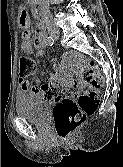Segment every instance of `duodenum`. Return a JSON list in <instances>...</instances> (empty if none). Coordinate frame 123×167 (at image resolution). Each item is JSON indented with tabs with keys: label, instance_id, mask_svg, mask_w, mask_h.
I'll use <instances>...</instances> for the list:
<instances>
[{
	"label": "duodenum",
	"instance_id": "1",
	"mask_svg": "<svg viewBox=\"0 0 123 167\" xmlns=\"http://www.w3.org/2000/svg\"><path fill=\"white\" fill-rule=\"evenodd\" d=\"M34 11L39 18L41 24L44 23V11L41 7L40 0H36L35 5H34Z\"/></svg>",
	"mask_w": 123,
	"mask_h": 167
}]
</instances>
